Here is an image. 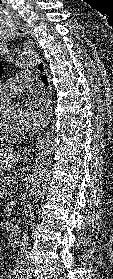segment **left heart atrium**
Listing matches in <instances>:
<instances>
[{"mask_svg": "<svg viewBox=\"0 0 113 279\" xmlns=\"http://www.w3.org/2000/svg\"><path fill=\"white\" fill-rule=\"evenodd\" d=\"M50 115V103L46 98L33 96L29 98L21 110L22 130L34 132L42 128Z\"/></svg>", "mask_w": 113, "mask_h": 279, "instance_id": "left-heart-atrium-1", "label": "left heart atrium"}]
</instances>
